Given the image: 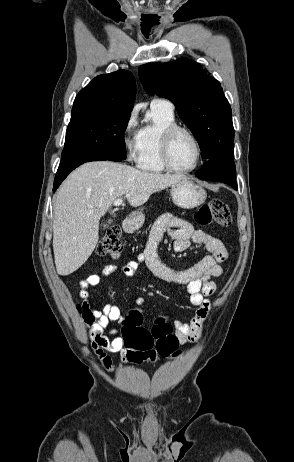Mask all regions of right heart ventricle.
Listing matches in <instances>:
<instances>
[{
  "instance_id": "e07e8e85",
  "label": "right heart ventricle",
  "mask_w": 294,
  "mask_h": 462,
  "mask_svg": "<svg viewBox=\"0 0 294 462\" xmlns=\"http://www.w3.org/2000/svg\"><path fill=\"white\" fill-rule=\"evenodd\" d=\"M176 125L173 110L163 106L151 105L146 113V121L137 132V167L149 173L166 171L160 157L162 132L169 126Z\"/></svg>"
}]
</instances>
